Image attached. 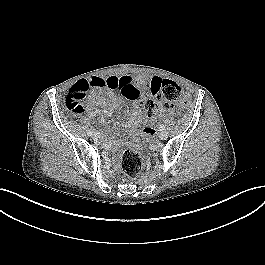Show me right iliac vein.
I'll use <instances>...</instances> for the list:
<instances>
[{"label":"right iliac vein","mask_w":265,"mask_h":265,"mask_svg":"<svg viewBox=\"0 0 265 265\" xmlns=\"http://www.w3.org/2000/svg\"><path fill=\"white\" fill-rule=\"evenodd\" d=\"M93 138H94L95 140L100 139V135H99V133H95V134L93 135Z\"/></svg>","instance_id":"63e3f726"}]
</instances>
